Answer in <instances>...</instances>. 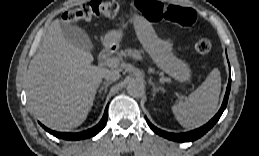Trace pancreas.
I'll return each instance as SVG.
<instances>
[{"mask_svg":"<svg viewBox=\"0 0 259 156\" xmlns=\"http://www.w3.org/2000/svg\"><path fill=\"white\" fill-rule=\"evenodd\" d=\"M125 54L128 55V56H131L134 59H141L142 58L141 51H139V50L128 49V50L125 51Z\"/></svg>","mask_w":259,"mask_h":156,"instance_id":"pancreas-1","label":"pancreas"}]
</instances>
